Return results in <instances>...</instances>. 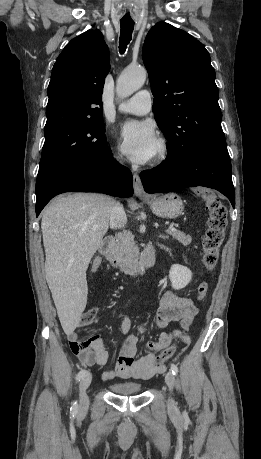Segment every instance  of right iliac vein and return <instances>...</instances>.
<instances>
[{
  "label": "right iliac vein",
  "instance_id": "63e3f726",
  "mask_svg": "<svg viewBox=\"0 0 261 459\" xmlns=\"http://www.w3.org/2000/svg\"><path fill=\"white\" fill-rule=\"evenodd\" d=\"M91 381H92L91 373H86L81 379V382L79 385V403H80L81 409H85L88 407L89 399H88V395L86 391L88 387L90 386Z\"/></svg>",
  "mask_w": 261,
  "mask_h": 459
}]
</instances>
